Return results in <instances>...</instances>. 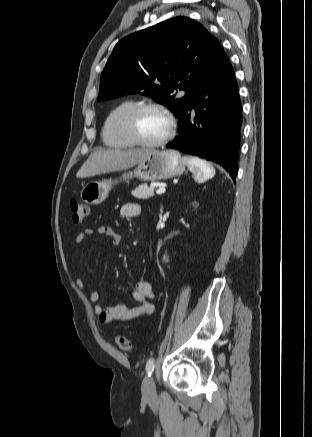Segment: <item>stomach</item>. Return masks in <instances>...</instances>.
<instances>
[{"mask_svg": "<svg viewBox=\"0 0 312 437\" xmlns=\"http://www.w3.org/2000/svg\"><path fill=\"white\" fill-rule=\"evenodd\" d=\"M185 171V163L176 150H152L140 161L134 170L122 174L120 180H129L137 177L143 181L166 180L180 176ZM118 180L91 181L80 192L83 202L89 205L101 204L109 195L114 183Z\"/></svg>", "mask_w": 312, "mask_h": 437, "instance_id": "stomach-1", "label": "stomach"}]
</instances>
